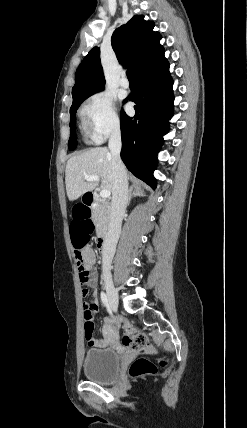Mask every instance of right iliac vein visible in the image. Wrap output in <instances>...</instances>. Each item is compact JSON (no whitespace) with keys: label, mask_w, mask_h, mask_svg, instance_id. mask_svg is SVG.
I'll return each mask as SVG.
<instances>
[{"label":"right iliac vein","mask_w":247,"mask_h":428,"mask_svg":"<svg viewBox=\"0 0 247 428\" xmlns=\"http://www.w3.org/2000/svg\"><path fill=\"white\" fill-rule=\"evenodd\" d=\"M105 288L108 296L109 305L112 310L116 311L118 308V292L112 282V279L109 275H105Z\"/></svg>","instance_id":"63e3f726"}]
</instances>
